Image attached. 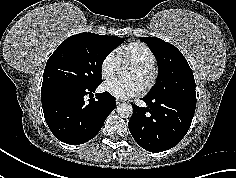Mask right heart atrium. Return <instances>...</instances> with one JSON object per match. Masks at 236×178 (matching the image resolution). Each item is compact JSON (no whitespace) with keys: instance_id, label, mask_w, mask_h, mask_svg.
<instances>
[{"instance_id":"d8ad5b80","label":"right heart atrium","mask_w":236,"mask_h":178,"mask_svg":"<svg viewBox=\"0 0 236 178\" xmlns=\"http://www.w3.org/2000/svg\"><path fill=\"white\" fill-rule=\"evenodd\" d=\"M120 64L115 53L106 54L100 63V73L104 80L108 81L115 77Z\"/></svg>"}]
</instances>
